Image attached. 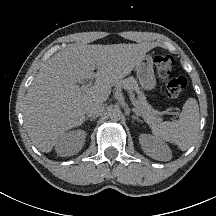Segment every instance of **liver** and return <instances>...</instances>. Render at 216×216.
<instances>
[{
  "label": "liver",
  "mask_w": 216,
  "mask_h": 216,
  "mask_svg": "<svg viewBox=\"0 0 216 216\" xmlns=\"http://www.w3.org/2000/svg\"><path fill=\"white\" fill-rule=\"evenodd\" d=\"M151 48L147 42L73 43L53 55L40 68L24 99V125L32 143L41 152H51L65 131L84 123L86 106L105 102L112 87L129 75ZM92 78L95 84L91 87L76 85Z\"/></svg>",
  "instance_id": "1"
}]
</instances>
